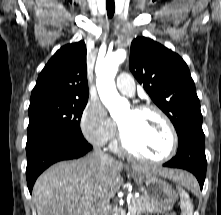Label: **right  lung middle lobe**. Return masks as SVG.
<instances>
[{
	"mask_svg": "<svg viewBox=\"0 0 221 215\" xmlns=\"http://www.w3.org/2000/svg\"><path fill=\"white\" fill-rule=\"evenodd\" d=\"M86 104L87 100H55L30 105L27 143L57 134L83 137L80 119Z\"/></svg>",
	"mask_w": 221,
	"mask_h": 215,
	"instance_id": "obj_1",
	"label": "right lung middle lobe"
}]
</instances>
